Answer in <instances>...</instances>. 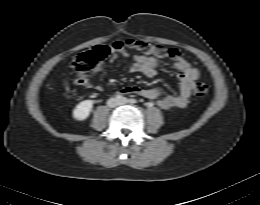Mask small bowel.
<instances>
[{"instance_id":"small-bowel-1","label":"small bowel","mask_w":260,"mask_h":205,"mask_svg":"<svg viewBox=\"0 0 260 205\" xmlns=\"http://www.w3.org/2000/svg\"><path fill=\"white\" fill-rule=\"evenodd\" d=\"M111 62L118 58L117 50H112ZM160 62L158 59L145 55H136L130 67L132 72H139L147 77L157 75ZM174 67L178 71L179 90L176 94H168L158 88H144L141 86H125L118 90L121 96L138 95L147 99L156 100L157 105L164 110L172 108H184L187 106L194 82L199 78V70L188 61L180 58L173 61ZM103 70L102 65H98L90 74L78 73L74 78V83L86 88L94 87L95 77ZM96 90L101 91L102 87L96 86Z\"/></svg>"}]
</instances>
